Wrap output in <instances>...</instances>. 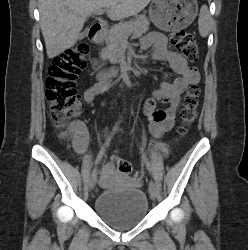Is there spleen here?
I'll return each mask as SVG.
<instances>
[{
    "instance_id": "obj_1",
    "label": "spleen",
    "mask_w": 248,
    "mask_h": 250,
    "mask_svg": "<svg viewBox=\"0 0 248 250\" xmlns=\"http://www.w3.org/2000/svg\"><path fill=\"white\" fill-rule=\"evenodd\" d=\"M210 13L208 7L203 5L200 9L199 19H198V28L201 37H206L209 32L210 26Z\"/></svg>"
}]
</instances>
